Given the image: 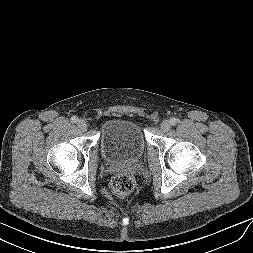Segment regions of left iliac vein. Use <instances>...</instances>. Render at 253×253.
<instances>
[{
  "instance_id": "left-iliac-vein-1",
  "label": "left iliac vein",
  "mask_w": 253,
  "mask_h": 253,
  "mask_svg": "<svg viewBox=\"0 0 253 253\" xmlns=\"http://www.w3.org/2000/svg\"><path fill=\"white\" fill-rule=\"evenodd\" d=\"M170 127H171L170 122L167 120L163 121L160 125V128L163 132L169 131Z\"/></svg>"
}]
</instances>
